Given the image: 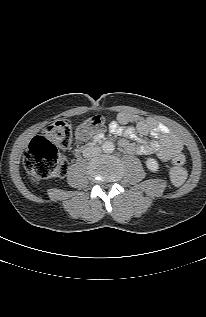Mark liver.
I'll return each mask as SVG.
<instances>
[{
  "instance_id": "1",
  "label": "liver",
  "mask_w": 206,
  "mask_h": 317,
  "mask_svg": "<svg viewBox=\"0 0 206 317\" xmlns=\"http://www.w3.org/2000/svg\"><path fill=\"white\" fill-rule=\"evenodd\" d=\"M32 176H34V172H32V174H31ZM35 179H37V177H35ZM35 179L34 178H32V180L33 181H35Z\"/></svg>"
}]
</instances>
